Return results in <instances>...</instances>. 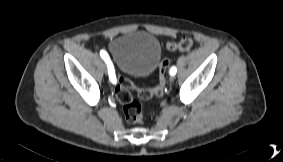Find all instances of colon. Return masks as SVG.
<instances>
[{
    "mask_svg": "<svg viewBox=\"0 0 283 162\" xmlns=\"http://www.w3.org/2000/svg\"><path fill=\"white\" fill-rule=\"evenodd\" d=\"M193 39L190 37H183L178 42H168L166 47L170 51H187L193 46ZM169 66V60L164 58L159 65L158 82L154 88L140 89L135 98L132 95L134 84L128 78L118 76L115 84V95L117 100L123 105V112L127 122L131 124H139L145 120L146 108L145 102L163 96L166 71Z\"/></svg>",
    "mask_w": 283,
    "mask_h": 162,
    "instance_id": "5ec220e1",
    "label": "colon"
}]
</instances>
